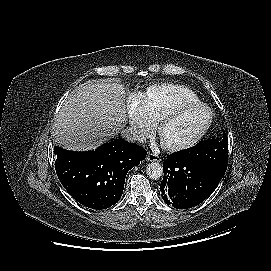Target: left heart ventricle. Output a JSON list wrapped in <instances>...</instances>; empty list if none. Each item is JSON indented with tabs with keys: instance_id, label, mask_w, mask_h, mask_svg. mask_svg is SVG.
I'll return each mask as SVG.
<instances>
[{
	"instance_id": "b2bd125f",
	"label": "left heart ventricle",
	"mask_w": 271,
	"mask_h": 271,
	"mask_svg": "<svg viewBox=\"0 0 271 271\" xmlns=\"http://www.w3.org/2000/svg\"><path fill=\"white\" fill-rule=\"evenodd\" d=\"M208 116L207 110L203 107L176 116L164 125L161 140L166 144H177L190 139L203 127Z\"/></svg>"
}]
</instances>
